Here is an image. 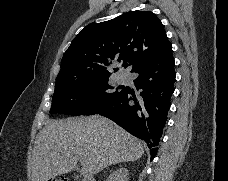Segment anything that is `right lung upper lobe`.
<instances>
[{
	"mask_svg": "<svg viewBox=\"0 0 228 181\" xmlns=\"http://www.w3.org/2000/svg\"><path fill=\"white\" fill-rule=\"evenodd\" d=\"M171 47L161 21L150 11H131L89 24L65 52L56 86L109 76L113 60L132 65V72ZM118 71V68H114Z\"/></svg>",
	"mask_w": 228,
	"mask_h": 181,
	"instance_id": "right-lung-upper-lobe-1",
	"label": "right lung upper lobe"
}]
</instances>
